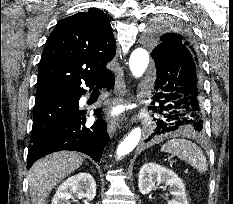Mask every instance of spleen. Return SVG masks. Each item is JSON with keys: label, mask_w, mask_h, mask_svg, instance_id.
Returning a JSON list of instances; mask_svg holds the SVG:
<instances>
[{"label": "spleen", "mask_w": 233, "mask_h": 204, "mask_svg": "<svg viewBox=\"0 0 233 204\" xmlns=\"http://www.w3.org/2000/svg\"><path fill=\"white\" fill-rule=\"evenodd\" d=\"M161 151L171 153L190 164L199 173L207 171V161L203 151L195 143L186 139H171L162 147Z\"/></svg>", "instance_id": "spleen-1"}]
</instances>
